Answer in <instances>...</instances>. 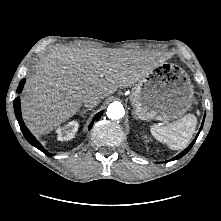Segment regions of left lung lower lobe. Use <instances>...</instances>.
I'll list each match as a JSON object with an SVG mask.
<instances>
[{
  "label": "left lung lower lobe",
  "instance_id": "0a47b994",
  "mask_svg": "<svg viewBox=\"0 0 221 221\" xmlns=\"http://www.w3.org/2000/svg\"><path fill=\"white\" fill-rule=\"evenodd\" d=\"M204 119H205V116H204ZM204 119H203L201 128H200V130H199V132H198L196 138L192 141V143H191L183 152H181L179 155H177L176 157H174L173 160H176V159H179V158L183 157V156L191 149V147H192L193 144L195 143V141H196V139H197V137H198V135H199V133H200L202 127H203Z\"/></svg>",
  "mask_w": 221,
  "mask_h": 221
}]
</instances>
